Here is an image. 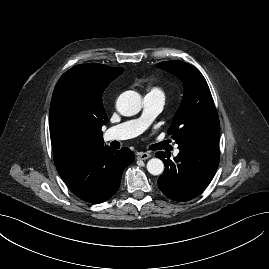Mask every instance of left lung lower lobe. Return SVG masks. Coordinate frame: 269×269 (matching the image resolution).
Returning <instances> with one entry per match:
<instances>
[{"label": "left lung lower lobe", "instance_id": "obj_1", "mask_svg": "<svg viewBox=\"0 0 269 269\" xmlns=\"http://www.w3.org/2000/svg\"><path fill=\"white\" fill-rule=\"evenodd\" d=\"M179 150L173 161L164 152L156 153L165 164L158 186L168 198L183 202L201 194L213 179L219 164V141L199 140Z\"/></svg>", "mask_w": 269, "mask_h": 269}]
</instances>
